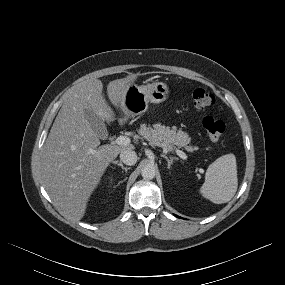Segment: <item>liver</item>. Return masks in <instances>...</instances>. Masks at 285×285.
<instances>
[{"instance_id": "liver-1", "label": "liver", "mask_w": 285, "mask_h": 285, "mask_svg": "<svg viewBox=\"0 0 285 285\" xmlns=\"http://www.w3.org/2000/svg\"><path fill=\"white\" fill-rule=\"evenodd\" d=\"M135 80L131 75L107 85L109 100L120 108L125 120L131 118V114L123 101ZM86 110L93 111L107 123L116 119L99 79L84 80L68 91L41 157L42 179L50 198L63 216L75 221L83 218L87 202L109 164L122 151L134 148L130 144L100 146L86 118Z\"/></svg>"}]
</instances>
